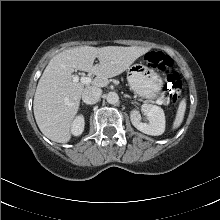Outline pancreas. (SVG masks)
Instances as JSON below:
<instances>
[{"label": "pancreas", "instance_id": "pancreas-1", "mask_svg": "<svg viewBox=\"0 0 220 220\" xmlns=\"http://www.w3.org/2000/svg\"><path fill=\"white\" fill-rule=\"evenodd\" d=\"M161 101L163 102V104H169L170 99L168 97H162Z\"/></svg>", "mask_w": 220, "mask_h": 220}]
</instances>
